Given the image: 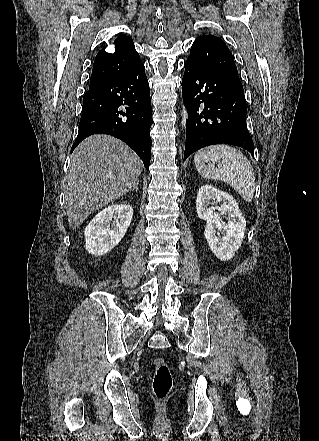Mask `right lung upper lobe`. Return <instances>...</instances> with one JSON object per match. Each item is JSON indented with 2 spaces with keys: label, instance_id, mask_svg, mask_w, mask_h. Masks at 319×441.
Segmentation results:
<instances>
[{
  "label": "right lung upper lobe",
  "instance_id": "right-lung-upper-lobe-1",
  "mask_svg": "<svg viewBox=\"0 0 319 441\" xmlns=\"http://www.w3.org/2000/svg\"><path fill=\"white\" fill-rule=\"evenodd\" d=\"M113 44V53H107L104 49L97 53L89 88L142 64L130 37L120 35Z\"/></svg>",
  "mask_w": 319,
  "mask_h": 441
}]
</instances>
